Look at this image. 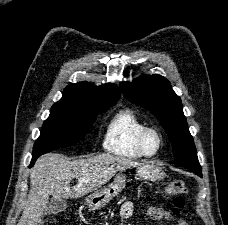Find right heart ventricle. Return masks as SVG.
<instances>
[{
    "instance_id": "obj_1",
    "label": "right heart ventricle",
    "mask_w": 228,
    "mask_h": 225,
    "mask_svg": "<svg viewBox=\"0 0 228 225\" xmlns=\"http://www.w3.org/2000/svg\"><path fill=\"white\" fill-rule=\"evenodd\" d=\"M148 125L131 109L118 111L108 122L102 145L111 154L126 158H143L139 136Z\"/></svg>"
}]
</instances>
